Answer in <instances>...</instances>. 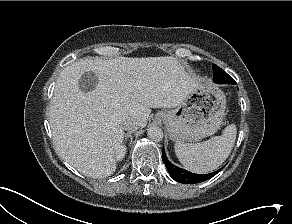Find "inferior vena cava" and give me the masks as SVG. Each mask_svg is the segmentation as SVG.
<instances>
[{"instance_id": "1", "label": "inferior vena cava", "mask_w": 292, "mask_h": 224, "mask_svg": "<svg viewBox=\"0 0 292 224\" xmlns=\"http://www.w3.org/2000/svg\"><path fill=\"white\" fill-rule=\"evenodd\" d=\"M121 126L128 132H134L138 129L139 123L133 118H125L121 121Z\"/></svg>"}]
</instances>
